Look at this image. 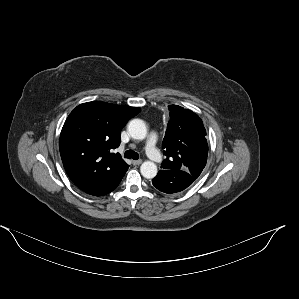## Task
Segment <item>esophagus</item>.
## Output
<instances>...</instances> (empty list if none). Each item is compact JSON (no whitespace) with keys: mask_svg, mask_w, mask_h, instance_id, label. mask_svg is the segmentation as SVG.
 <instances>
[{"mask_svg":"<svg viewBox=\"0 0 299 299\" xmlns=\"http://www.w3.org/2000/svg\"><path fill=\"white\" fill-rule=\"evenodd\" d=\"M142 163V160H132L133 165H140Z\"/></svg>","mask_w":299,"mask_h":299,"instance_id":"1","label":"esophagus"}]
</instances>
